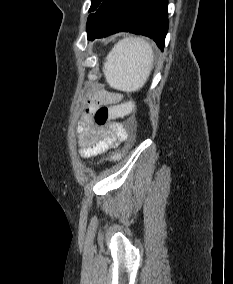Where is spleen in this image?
Instances as JSON below:
<instances>
[{"instance_id":"1","label":"spleen","mask_w":233,"mask_h":284,"mask_svg":"<svg viewBox=\"0 0 233 284\" xmlns=\"http://www.w3.org/2000/svg\"><path fill=\"white\" fill-rule=\"evenodd\" d=\"M154 62L152 46L142 38H124L106 57L103 72L110 87L138 91L146 83Z\"/></svg>"}]
</instances>
